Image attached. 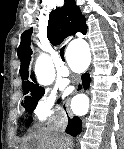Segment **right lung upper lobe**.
<instances>
[{
    "mask_svg": "<svg viewBox=\"0 0 124 149\" xmlns=\"http://www.w3.org/2000/svg\"><path fill=\"white\" fill-rule=\"evenodd\" d=\"M64 6L53 10L49 15L47 36L53 45L61 44L67 37L77 32L86 34V19L82 15L74 0H64ZM33 29L26 30L21 35V42L17 49L18 57L21 61L20 75L23 79V87H39L32 73L29 76L28 67L32 50L30 48V36ZM29 78L33 81H29Z\"/></svg>",
    "mask_w": 124,
    "mask_h": 149,
    "instance_id": "1",
    "label": "right lung upper lobe"
}]
</instances>
